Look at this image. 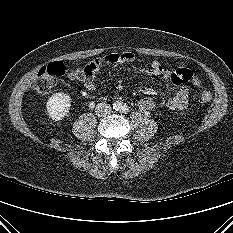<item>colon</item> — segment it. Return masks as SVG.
Returning a JSON list of instances; mask_svg holds the SVG:
<instances>
[{
	"mask_svg": "<svg viewBox=\"0 0 233 233\" xmlns=\"http://www.w3.org/2000/svg\"><path fill=\"white\" fill-rule=\"evenodd\" d=\"M97 67V61L94 60L85 66H79L70 72V76L74 79L84 80L91 76ZM67 72L66 66L61 62H54L42 67L35 78L33 79L32 86L35 91L42 96L48 95L59 79L63 77ZM185 80L195 85L198 84V79L192 72L185 74ZM212 100L210 92L203 91L200 95V101L202 103H209Z\"/></svg>",
	"mask_w": 233,
	"mask_h": 233,
	"instance_id": "5ec220e1",
	"label": "colon"
}]
</instances>
